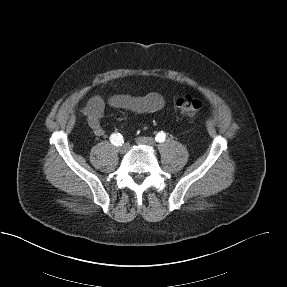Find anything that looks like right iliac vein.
Listing matches in <instances>:
<instances>
[{"label": "right iliac vein", "mask_w": 287, "mask_h": 287, "mask_svg": "<svg viewBox=\"0 0 287 287\" xmlns=\"http://www.w3.org/2000/svg\"><path fill=\"white\" fill-rule=\"evenodd\" d=\"M128 148H129L128 144H124V145H122V146L119 148V152H120L121 154H124V153L127 152Z\"/></svg>", "instance_id": "1"}]
</instances>
